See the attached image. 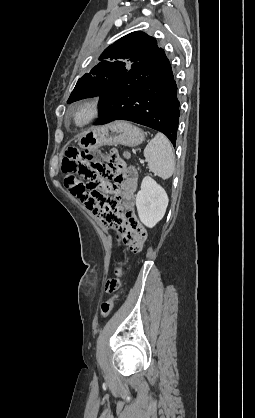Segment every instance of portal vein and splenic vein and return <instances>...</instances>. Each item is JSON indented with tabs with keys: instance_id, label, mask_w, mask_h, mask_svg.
I'll use <instances>...</instances> for the list:
<instances>
[{
	"instance_id": "18ae733b",
	"label": "portal vein and splenic vein",
	"mask_w": 255,
	"mask_h": 418,
	"mask_svg": "<svg viewBox=\"0 0 255 418\" xmlns=\"http://www.w3.org/2000/svg\"><path fill=\"white\" fill-rule=\"evenodd\" d=\"M140 162L143 163L144 161L143 160H140Z\"/></svg>"
}]
</instances>
